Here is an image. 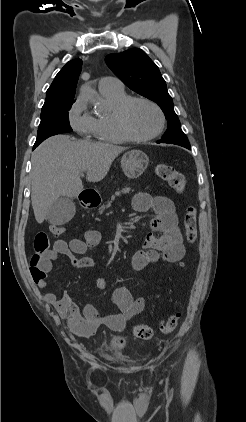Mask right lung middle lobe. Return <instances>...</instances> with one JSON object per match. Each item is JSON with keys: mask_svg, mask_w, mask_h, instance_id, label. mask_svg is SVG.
<instances>
[{"mask_svg": "<svg viewBox=\"0 0 246 422\" xmlns=\"http://www.w3.org/2000/svg\"><path fill=\"white\" fill-rule=\"evenodd\" d=\"M73 103L74 100H68L42 107L41 122L34 148L50 136L72 132L68 111Z\"/></svg>", "mask_w": 246, "mask_h": 422, "instance_id": "dd1d6c3e", "label": "right lung middle lobe"}]
</instances>
